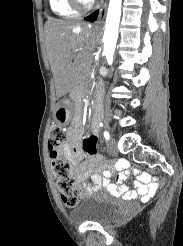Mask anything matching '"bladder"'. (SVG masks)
Masks as SVG:
<instances>
[{"mask_svg":"<svg viewBox=\"0 0 183 246\" xmlns=\"http://www.w3.org/2000/svg\"><path fill=\"white\" fill-rule=\"evenodd\" d=\"M118 211L117 201L107 192L99 190L86 198L72 212V218L83 222L107 223Z\"/></svg>","mask_w":183,"mask_h":246,"instance_id":"31cf9c89","label":"bladder"}]
</instances>
